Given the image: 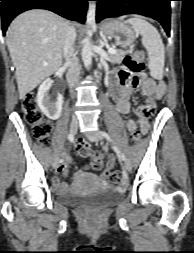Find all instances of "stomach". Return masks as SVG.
Returning <instances> with one entry per match:
<instances>
[{
  "instance_id": "0dacf381",
  "label": "stomach",
  "mask_w": 194,
  "mask_h": 253,
  "mask_svg": "<svg viewBox=\"0 0 194 253\" xmlns=\"http://www.w3.org/2000/svg\"><path fill=\"white\" fill-rule=\"evenodd\" d=\"M101 31L123 48L131 46L135 40L134 30L118 20L106 21L102 24Z\"/></svg>"
}]
</instances>
